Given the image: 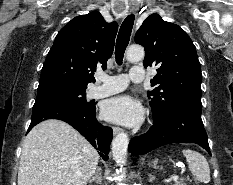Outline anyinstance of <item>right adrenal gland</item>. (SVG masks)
<instances>
[{
  "label": "right adrenal gland",
  "mask_w": 233,
  "mask_h": 185,
  "mask_svg": "<svg viewBox=\"0 0 233 185\" xmlns=\"http://www.w3.org/2000/svg\"><path fill=\"white\" fill-rule=\"evenodd\" d=\"M102 176H101V168L97 167L95 169V172L93 173L92 177L89 180V183H92L93 181H95L98 184H101L102 181Z\"/></svg>",
  "instance_id": "right-adrenal-gland-1"
}]
</instances>
